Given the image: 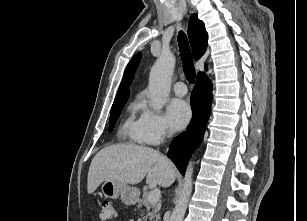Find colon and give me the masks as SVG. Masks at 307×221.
Instances as JSON below:
<instances>
[{"mask_svg": "<svg viewBox=\"0 0 307 221\" xmlns=\"http://www.w3.org/2000/svg\"><path fill=\"white\" fill-rule=\"evenodd\" d=\"M100 219L101 221L112 220L116 216L115 207L111 201H103L100 206Z\"/></svg>", "mask_w": 307, "mask_h": 221, "instance_id": "5ec220e1", "label": "colon"}]
</instances>
